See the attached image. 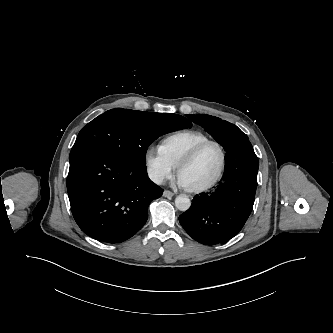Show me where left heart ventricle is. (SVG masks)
I'll return each instance as SVG.
<instances>
[{"instance_id": "left-heart-ventricle-1", "label": "left heart ventricle", "mask_w": 333, "mask_h": 333, "mask_svg": "<svg viewBox=\"0 0 333 333\" xmlns=\"http://www.w3.org/2000/svg\"><path fill=\"white\" fill-rule=\"evenodd\" d=\"M220 154L215 146H208L181 173L180 178L186 187H199L209 182L216 174Z\"/></svg>"}]
</instances>
